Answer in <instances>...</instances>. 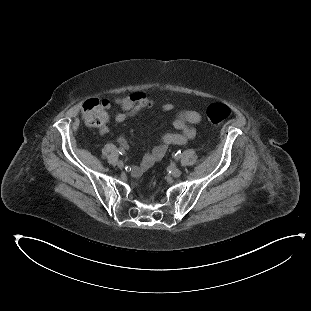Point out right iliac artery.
Instances as JSON below:
<instances>
[{
	"label": "right iliac artery",
	"instance_id": "82829eb1",
	"mask_svg": "<svg viewBox=\"0 0 311 311\" xmlns=\"http://www.w3.org/2000/svg\"><path fill=\"white\" fill-rule=\"evenodd\" d=\"M118 152H119L121 155H124V154H125V150H124V148H122V147H120V148L118 149Z\"/></svg>",
	"mask_w": 311,
	"mask_h": 311
}]
</instances>
